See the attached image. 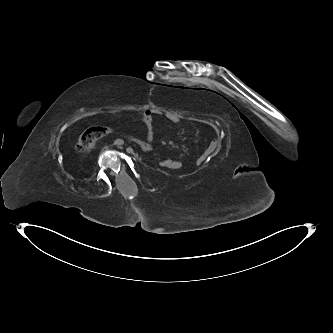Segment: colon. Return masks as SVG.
Masks as SVG:
<instances>
[{"label":"colon","mask_w":333,"mask_h":333,"mask_svg":"<svg viewBox=\"0 0 333 333\" xmlns=\"http://www.w3.org/2000/svg\"><path fill=\"white\" fill-rule=\"evenodd\" d=\"M111 132V129L106 126H93L85 130L79 137L76 149L79 152H89L96 142L102 137L106 136ZM173 160L170 157H167L165 160L161 159L158 162V165L161 168L172 167Z\"/></svg>","instance_id":"colon-1"}]
</instances>
